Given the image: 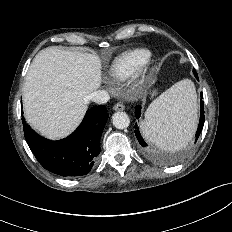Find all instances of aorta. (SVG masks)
I'll return each instance as SVG.
<instances>
[{
    "instance_id": "aorta-1",
    "label": "aorta",
    "mask_w": 232,
    "mask_h": 232,
    "mask_svg": "<svg viewBox=\"0 0 232 232\" xmlns=\"http://www.w3.org/2000/svg\"><path fill=\"white\" fill-rule=\"evenodd\" d=\"M112 123L118 129H125L130 124V118L125 112H116L112 116Z\"/></svg>"
}]
</instances>
